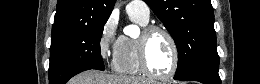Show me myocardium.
Wrapping results in <instances>:
<instances>
[{
    "mask_svg": "<svg viewBox=\"0 0 260 84\" xmlns=\"http://www.w3.org/2000/svg\"><path fill=\"white\" fill-rule=\"evenodd\" d=\"M163 33L169 40L172 49V66L167 74H157L153 72L147 60V47L150 37L156 33ZM138 59L142 72L151 79L155 80H168L175 76L179 68V48L174 35L164 26L161 25H148L144 27L140 37L137 39Z\"/></svg>",
    "mask_w": 260,
    "mask_h": 84,
    "instance_id": "1",
    "label": "myocardium"
}]
</instances>
